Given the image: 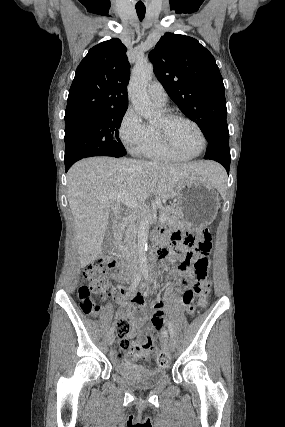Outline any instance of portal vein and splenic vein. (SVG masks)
Here are the masks:
<instances>
[{
    "label": "portal vein and splenic vein",
    "instance_id": "18ae733b",
    "mask_svg": "<svg viewBox=\"0 0 285 427\" xmlns=\"http://www.w3.org/2000/svg\"><path fill=\"white\" fill-rule=\"evenodd\" d=\"M102 201H108V200H115L117 202H121L129 207L136 208L138 206L137 202L133 199H130L127 197V195L120 194V193H113L109 194L107 196H103L101 198ZM166 217L163 214H160L159 220L163 221Z\"/></svg>",
    "mask_w": 285,
    "mask_h": 427
}]
</instances>
